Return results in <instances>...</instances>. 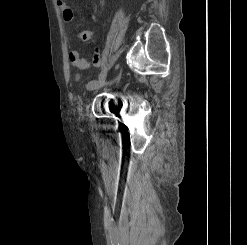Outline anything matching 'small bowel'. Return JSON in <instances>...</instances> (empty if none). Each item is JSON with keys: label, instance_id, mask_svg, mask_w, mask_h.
<instances>
[{"label": "small bowel", "instance_id": "c3829d8e", "mask_svg": "<svg viewBox=\"0 0 247 245\" xmlns=\"http://www.w3.org/2000/svg\"><path fill=\"white\" fill-rule=\"evenodd\" d=\"M57 4L62 11V16L66 22H72L74 18L73 11L68 7L67 0H57ZM99 33V29L92 31H82L77 34V38L80 41H87L95 38ZM70 63L80 69L89 68L91 65L99 66L101 63V57L98 52L92 57L91 60L84 58L80 55L79 51L73 50L69 53Z\"/></svg>", "mask_w": 247, "mask_h": 245}]
</instances>
